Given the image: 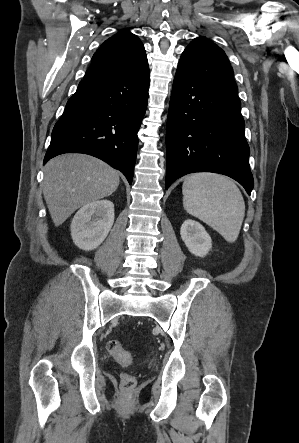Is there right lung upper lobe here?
<instances>
[{
	"label": "right lung upper lobe",
	"instance_id": "obj_1",
	"mask_svg": "<svg viewBox=\"0 0 299 443\" xmlns=\"http://www.w3.org/2000/svg\"><path fill=\"white\" fill-rule=\"evenodd\" d=\"M148 72L149 66L142 42L125 30L107 39L94 53L84 79L142 76Z\"/></svg>",
	"mask_w": 299,
	"mask_h": 443
}]
</instances>
